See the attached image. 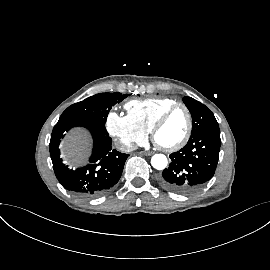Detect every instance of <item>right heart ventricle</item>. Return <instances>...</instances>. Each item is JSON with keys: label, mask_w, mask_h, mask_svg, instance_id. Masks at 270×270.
Segmentation results:
<instances>
[{"label": "right heart ventricle", "mask_w": 270, "mask_h": 270, "mask_svg": "<svg viewBox=\"0 0 270 270\" xmlns=\"http://www.w3.org/2000/svg\"><path fill=\"white\" fill-rule=\"evenodd\" d=\"M177 103L172 98L135 99L126 103L128 115L146 132H150L159 116L171 105Z\"/></svg>", "instance_id": "e07e8e85"}]
</instances>
